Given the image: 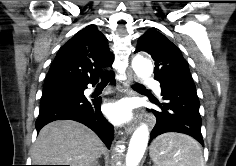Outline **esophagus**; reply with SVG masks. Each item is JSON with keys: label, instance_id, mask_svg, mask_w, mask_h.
<instances>
[{"label": "esophagus", "instance_id": "obj_1", "mask_svg": "<svg viewBox=\"0 0 236 166\" xmlns=\"http://www.w3.org/2000/svg\"><path fill=\"white\" fill-rule=\"evenodd\" d=\"M136 81V77L132 72H128L127 73V79L125 81V85L128 88V93L129 95L132 94V91L130 90V86L133 85ZM136 123H129L126 127H125V131L126 133H131L133 132V130L135 129Z\"/></svg>", "mask_w": 236, "mask_h": 166}]
</instances>
